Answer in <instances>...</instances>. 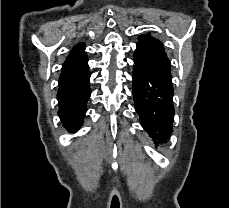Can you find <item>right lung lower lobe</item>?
<instances>
[{"mask_svg": "<svg viewBox=\"0 0 229 208\" xmlns=\"http://www.w3.org/2000/svg\"><path fill=\"white\" fill-rule=\"evenodd\" d=\"M89 78L90 72L87 67L81 75L59 84L58 114L64 126L71 132H75L83 123L86 104L90 97Z\"/></svg>", "mask_w": 229, "mask_h": 208, "instance_id": "1", "label": "right lung lower lobe"}]
</instances>
